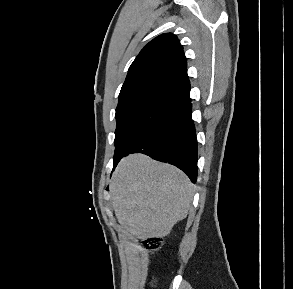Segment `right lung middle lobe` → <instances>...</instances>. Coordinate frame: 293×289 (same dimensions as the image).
I'll return each instance as SVG.
<instances>
[{
	"label": "right lung middle lobe",
	"mask_w": 293,
	"mask_h": 289,
	"mask_svg": "<svg viewBox=\"0 0 293 289\" xmlns=\"http://www.w3.org/2000/svg\"><path fill=\"white\" fill-rule=\"evenodd\" d=\"M176 108L173 103L153 97L131 98L118 103L115 115V154Z\"/></svg>",
	"instance_id": "obj_1"
}]
</instances>
